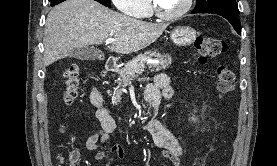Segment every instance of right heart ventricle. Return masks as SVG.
Masks as SVG:
<instances>
[{
  "label": "right heart ventricle",
  "mask_w": 277,
  "mask_h": 166,
  "mask_svg": "<svg viewBox=\"0 0 277 166\" xmlns=\"http://www.w3.org/2000/svg\"><path fill=\"white\" fill-rule=\"evenodd\" d=\"M151 16H152V10H151L149 4H147L145 9L138 15V17H140V18H149Z\"/></svg>",
  "instance_id": "e07e8e85"
}]
</instances>
